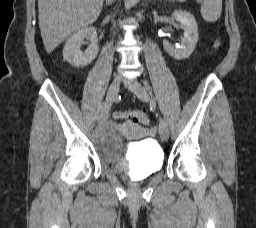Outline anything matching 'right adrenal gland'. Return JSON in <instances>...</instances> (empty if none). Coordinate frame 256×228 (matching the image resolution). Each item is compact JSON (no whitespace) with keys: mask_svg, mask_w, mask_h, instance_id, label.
Here are the masks:
<instances>
[{"mask_svg":"<svg viewBox=\"0 0 256 228\" xmlns=\"http://www.w3.org/2000/svg\"><path fill=\"white\" fill-rule=\"evenodd\" d=\"M111 2H113V1L107 2V3H106V6L110 5Z\"/></svg>","mask_w":256,"mask_h":228,"instance_id":"1","label":"right adrenal gland"}]
</instances>
